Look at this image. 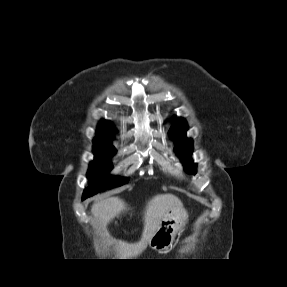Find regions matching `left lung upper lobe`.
<instances>
[{"label": "left lung upper lobe", "instance_id": "5c2ea615", "mask_svg": "<svg viewBox=\"0 0 287 287\" xmlns=\"http://www.w3.org/2000/svg\"><path fill=\"white\" fill-rule=\"evenodd\" d=\"M187 123L182 118L173 121L169 133L175 137V152L182 158L184 168L187 173H196V164L192 163L190 155L193 151V142L185 136Z\"/></svg>", "mask_w": 287, "mask_h": 287}]
</instances>
